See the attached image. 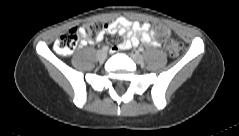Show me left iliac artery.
<instances>
[{
    "mask_svg": "<svg viewBox=\"0 0 239 136\" xmlns=\"http://www.w3.org/2000/svg\"><path fill=\"white\" fill-rule=\"evenodd\" d=\"M139 51H140V52H143V51H144V49L140 47V48H139Z\"/></svg>",
    "mask_w": 239,
    "mask_h": 136,
    "instance_id": "left-iliac-artery-1",
    "label": "left iliac artery"
}]
</instances>
